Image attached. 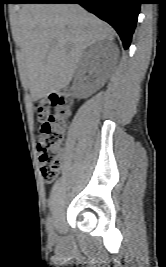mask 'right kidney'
Instances as JSON below:
<instances>
[{
  "label": "right kidney",
  "instance_id": "1",
  "mask_svg": "<svg viewBox=\"0 0 166 267\" xmlns=\"http://www.w3.org/2000/svg\"><path fill=\"white\" fill-rule=\"evenodd\" d=\"M105 55L106 49L102 43L93 44L83 55L80 62L81 69L77 73V83L75 85V89L79 92L80 96L88 97L97 90V80L89 79L85 76V73L88 67H93L95 73L100 74L103 70L102 58Z\"/></svg>",
  "mask_w": 166,
  "mask_h": 267
}]
</instances>
